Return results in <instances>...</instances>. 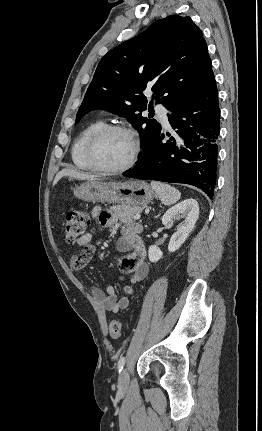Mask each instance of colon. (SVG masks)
<instances>
[{
	"label": "colon",
	"mask_w": 262,
	"mask_h": 431,
	"mask_svg": "<svg viewBox=\"0 0 262 431\" xmlns=\"http://www.w3.org/2000/svg\"><path fill=\"white\" fill-rule=\"evenodd\" d=\"M90 222L89 216L81 211H69L65 218L64 233L67 243H75L78 237L83 234ZM127 293H131L130 288H126ZM122 323L120 320L115 319L109 322L108 332L111 338L118 339L121 335Z\"/></svg>",
	"instance_id": "colon-1"
}]
</instances>
